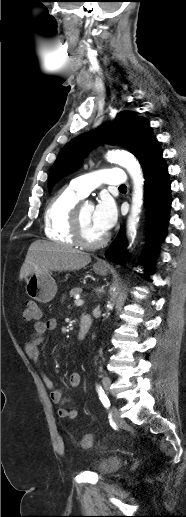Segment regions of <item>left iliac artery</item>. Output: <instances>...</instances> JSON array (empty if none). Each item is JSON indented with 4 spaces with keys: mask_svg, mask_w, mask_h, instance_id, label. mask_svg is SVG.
<instances>
[{
    "mask_svg": "<svg viewBox=\"0 0 186 517\" xmlns=\"http://www.w3.org/2000/svg\"><path fill=\"white\" fill-rule=\"evenodd\" d=\"M97 392L99 395V399L102 402V404L104 405V407L109 408L110 401L101 386H97Z\"/></svg>",
    "mask_w": 186,
    "mask_h": 517,
    "instance_id": "44dca946",
    "label": "left iliac artery"
}]
</instances>
